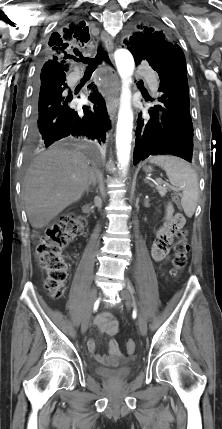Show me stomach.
Listing matches in <instances>:
<instances>
[{
  "instance_id": "1",
  "label": "stomach",
  "mask_w": 222,
  "mask_h": 429,
  "mask_svg": "<svg viewBox=\"0 0 222 429\" xmlns=\"http://www.w3.org/2000/svg\"><path fill=\"white\" fill-rule=\"evenodd\" d=\"M144 170L147 171V172L152 171V167L151 166H147V167L144 168Z\"/></svg>"
}]
</instances>
